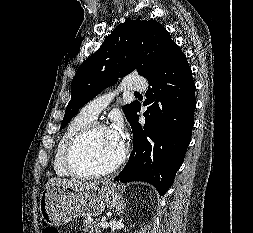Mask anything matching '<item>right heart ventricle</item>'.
<instances>
[{
	"label": "right heart ventricle",
	"mask_w": 253,
	"mask_h": 233,
	"mask_svg": "<svg viewBox=\"0 0 253 233\" xmlns=\"http://www.w3.org/2000/svg\"><path fill=\"white\" fill-rule=\"evenodd\" d=\"M94 120L88 118L81 113L75 116L70 123L67 125L66 129L59 138L54 158H53V168L56 175L60 177H71L73 176L71 172L67 169L65 165V155L69 144L79 134L85 127L91 124Z\"/></svg>",
	"instance_id": "obj_1"
}]
</instances>
